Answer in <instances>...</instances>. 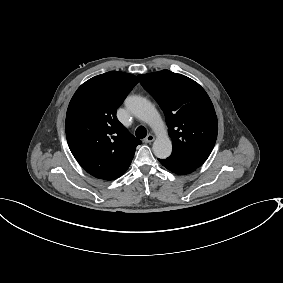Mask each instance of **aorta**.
Masks as SVG:
<instances>
[{"instance_id":"aorta-1","label":"aorta","mask_w":283,"mask_h":283,"mask_svg":"<svg viewBox=\"0 0 283 283\" xmlns=\"http://www.w3.org/2000/svg\"><path fill=\"white\" fill-rule=\"evenodd\" d=\"M126 108L137 118L146 122L157 135L153 143L156 157L165 159L171 155L172 143L167 133V127L154 105L141 96H129L125 100Z\"/></svg>"}]
</instances>
